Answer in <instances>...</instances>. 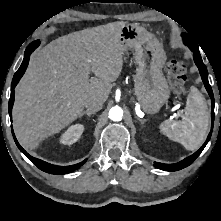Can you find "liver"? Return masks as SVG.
<instances>
[{"label":"liver","mask_w":221,"mask_h":221,"mask_svg":"<svg viewBox=\"0 0 221 221\" xmlns=\"http://www.w3.org/2000/svg\"><path fill=\"white\" fill-rule=\"evenodd\" d=\"M125 25L114 22L70 33L31 58L13 106L14 130L23 146L34 149L60 132L79 117L87 99L107 100L123 67L120 34Z\"/></svg>","instance_id":"obj_1"}]
</instances>
